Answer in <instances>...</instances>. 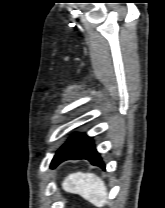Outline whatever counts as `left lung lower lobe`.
Here are the masks:
<instances>
[{"label":"left lung lower lobe","instance_id":"left-lung-lower-lobe-1","mask_svg":"<svg viewBox=\"0 0 165 208\" xmlns=\"http://www.w3.org/2000/svg\"><path fill=\"white\" fill-rule=\"evenodd\" d=\"M68 159H86L90 161L92 165L100 166L105 169V164L99 156L92 138L86 134H81L76 137L72 146L62 157L60 162Z\"/></svg>","mask_w":165,"mask_h":208}]
</instances>
